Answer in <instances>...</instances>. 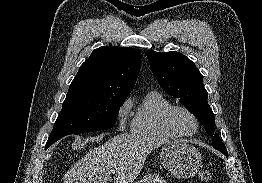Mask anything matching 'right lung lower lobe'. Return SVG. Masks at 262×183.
Returning a JSON list of instances; mask_svg holds the SVG:
<instances>
[{
	"label": "right lung lower lobe",
	"mask_w": 262,
	"mask_h": 183,
	"mask_svg": "<svg viewBox=\"0 0 262 183\" xmlns=\"http://www.w3.org/2000/svg\"><path fill=\"white\" fill-rule=\"evenodd\" d=\"M50 145H46V148L49 147Z\"/></svg>",
	"instance_id": "obj_1"
}]
</instances>
